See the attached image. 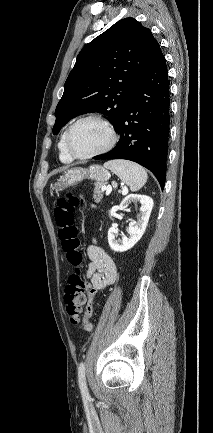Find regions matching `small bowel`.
<instances>
[{
	"label": "small bowel",
	"instance_id": "small-bowel-1",
	"mask_svg": "<svg viewBox=\"0 0 213 433\" xmlns=\"http://www.w3.org/2000/svg\"><path fill=\"white\" fill-rule=\"evenodd\" d=\"M86 252L89 260L86 278L89 282L85 317L88 319L93 313L95 295L116 281L117 267L114 260L96 244L95 240L87 246Z\"/></svg>",
	"mask_w": 213,
	"mask_h": 433
}]
</instances>
